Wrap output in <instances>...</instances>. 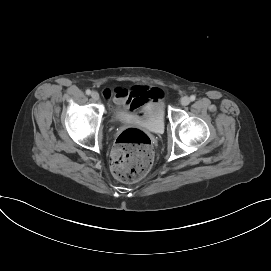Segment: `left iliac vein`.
I'll return each mask as SVG.
<instances>
[{"label": "left iliac vein", "instance_id": "1", "mask_svg": "<svg viewBox=\"0 0 271 271\" xmlns=\"http://www.w3.org/2000/svg\"><path fill=\"white\" fill-rule=\"evenodd\" d=\"M189 103H190V98L187 96L182 97L180 100V104L182 106H187Z\"/></svg>", "mask_w": 271, "mask_h": 271}]
</instances>
